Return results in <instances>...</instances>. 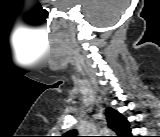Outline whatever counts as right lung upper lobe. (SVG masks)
<instances>
[{"label": "right lung upper lobe", "mask_w": 160, "mask_h": 137, "mask_svg": "<svg viewBox=\"0 0 160 137\" xmlns=\"http://www.w3.org/2000/svg\"><path fill=\"white\" fill-rule=\"evenodd\" d=\"M106 118L108 127L111 128L119 137H126L130 132L129 122L119 112L108 107L106 108Z\"/></svg>", "instance_id": "cb5924a9"}]
</instances>
